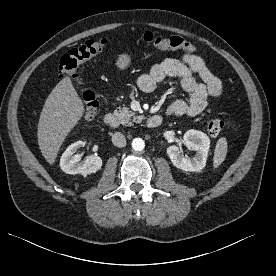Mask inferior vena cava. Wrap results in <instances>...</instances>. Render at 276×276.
I'll return each mask as SVG.
<instances>
[{
    "instance_id": "602c4592",
    "label": "inferior vena cava",
    "mask_w": 276,
    "mask_h": 276,
    "mask_svg": "<svg viewBox=\"0 0 276 276\" xmlns=\"http://www.w3.org/2000/svg\"><path fill=\"white\" fill-rule=\"evenodd\" d=\"M112 143L116 147H125L126 138L121 132H116L112 135Z\"/></svg>"
}]
</instances>
